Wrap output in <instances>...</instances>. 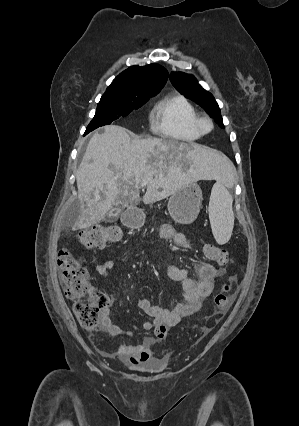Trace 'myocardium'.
Returning <instances> with one entry per match:
<instances>
[{
	"label": "myocardium",
	"mask_w": 299,
	"mask_h": 426,
	"mask_svg": "<svg viewBox=\"0 0 299 426\" xmlns=\"http://www.w3.org/2000/svg\"><path fill=\"white\" fill-rule=\"evenodd\" d=\"M195 126L201 135L208 134L214 129V122L208 115L198 116Z\"/></svg>",
	"instance_id": "obj_1"
}]
</instances>
